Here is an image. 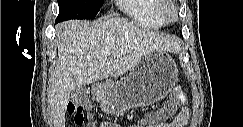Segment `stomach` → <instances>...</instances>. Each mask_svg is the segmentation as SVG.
Masks as SVG:
<instances>
[{
	"label": "stomach",
	"instance_id": "0dacf381",
	"mask_svg": "<svg viewBox=\"0 0 243 127\" xmlns=\"http://www.w3.org/2000/svg\"><path fill=\"white\" fill-rule=\"evenodd\" d=\"M177 77V65L171 56L157 51L143 57L125 80L96 84L94 94L104 112L117 116L165 98Z\"/></svg>",
	"mask_w": 243,
	"mask_h": 127
}]
</instances>
